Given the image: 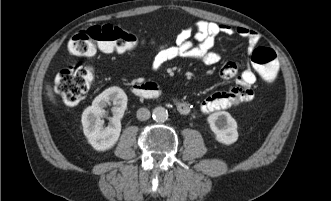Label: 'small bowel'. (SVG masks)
Masks as SVG:
<instances>
[{"label":"small bowel","instance_id":"small-bowel-1","mask_svg":"<svg viewBox=\"0 0 331 201\" xmlns=\"http://www.w3.org/2000/svg\"><path fill=\"white\" fill-rule=\"evenodd\" d=\"M221 34L238 35L246 39L250 51L257 46L260 40L258 33L253 30L200 20L196 22L194 30L192 28L181 30L173 45L159 48L152 59L151 69L156 71L167 62L178 58L195 59L206 65H214L220 61V55L213 51V46L216 38ZM220 76L224 80L234 79L235 85L227 91L215 92L204 99L200 105V111L204 114L250 101L254 96L252 86L256 81V75L250 65L238 72L236 62L228 61L221 67ZM173 103L183 116L192 115L195 111L193 106L187 102L174 99Z\"/></svg>","mask_w":331,"mask_h":201}]
</instances>
